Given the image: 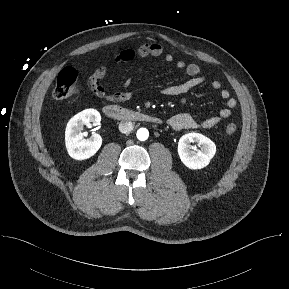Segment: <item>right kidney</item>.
I'll list each match as a JSON object with an SVG mask.
<instances>
[{
  "mask_svg": "<svg viewBox=\"0 0 289 289\" xmlns=\"http://www.w3.org/2000/svg\"><path fill=\"white\" fill-rule=\"evenodd\" d=\"M100 121V113L95 109H86L69 120L65 131V143L70 157L85 160L97 153L102 145V137L92 134L90 138L85 139L82 130L85 125H97Z\"/></svg>",
  "mask_w": 289,
  "mask_h": 289,
  "instance_id": "ca27d5eb",
  "label": "right kidney"
}]
</instances>
